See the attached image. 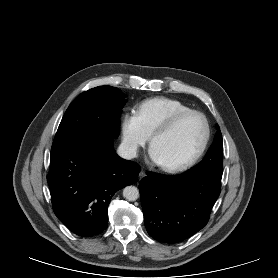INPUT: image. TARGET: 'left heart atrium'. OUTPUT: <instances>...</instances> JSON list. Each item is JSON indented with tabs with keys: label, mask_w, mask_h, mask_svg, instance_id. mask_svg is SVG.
Listing matches in <instances>:
<instances>
[{
	"label": "left heart atrium",
	"mask_w": 278,
	"mask_h": 278,
	"mask_svg": "<svg viewBox=\"0 0 278 278\" xmlns=\"http://www.w3.org/2000/svg\"><path fill=\"white\" fill-rule=\"evenodd\" d=\"M149 155L151 160L155 163V164H161L159 161V158L155 152V150L151 147L150 151H149Z\"/></svg>",
	"instance_id": "obj_1"
}]
</instances>
